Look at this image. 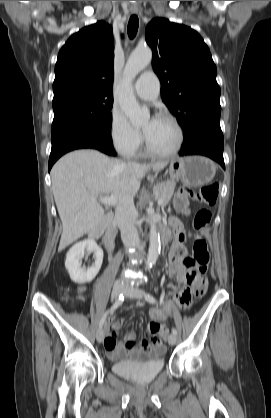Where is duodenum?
I'll list each match as a JSON object with an SVG mask.
<instances>
[{
	"label": "duodenum",
	"mask_w": 271,
	"mask_h": 418,
	"mask_svg": "<svg viewBox=\"0 0 271 418\" xmlns=\"http://www.w3.org/2000/svg\"><path fill=\"white\" fill-rule=\"evenodd\" d=\"M116 233V226L111 218L107 220V223L101 233V238L106 246V248L110 251L113 248L114 244V237ZM167 239V234L163 233V240Z\"/></svg>",
	"instance_id": "duodenum-1"
}]
</instances>
